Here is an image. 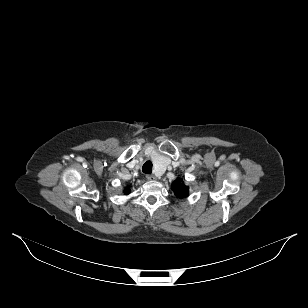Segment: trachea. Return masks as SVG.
<instances>
[{"label": "trachea", "mask_w": 308, "mask_h": 308, "mask_svg": "<svg viewBox=\"0 0 308 308\" xmlns=\"http://www.w3.org/2000/svg\"><path fill=\"white\" fill-rule=\"evenodd\" d=\"M142 171L146 174H151L152 172V162L146 161L142 167Z\"/></svg>", "instance_id": "obj_1"}]
</instances>
